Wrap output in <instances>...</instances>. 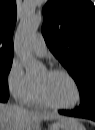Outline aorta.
Listing matches in <instances>:
<instances>
[{"label":"aorta","mask_w":95,"mask_h":130,"mask_svg":"<svg viewBox=\"0 0 95 130\" xmlns=\"http://www.w3.org/2000/svg\"><path fill=\"white\" fill-rule=\"evenodd\" d=\"M42 22V15H26L17 29L16 52L23 62L28 76L36 75L40 69L32 55L31 39Z\"/></svg>","instance_id":"1"}]
</instances>
